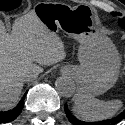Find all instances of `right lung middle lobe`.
Instances as JSON below:
<instances>
[{
  "mask_svg": "<svg viewBox=\"0 0 125 125\" xmlns=\"http://www.w3.org/2000/svg\"><path fill=\"white\" fill-rule=\"evenodd\" d=\"M21 3V0H0V9H4L6 11L12 10L18 7Z\"/></svg>",
  "mask_w": 125,
  "mask_h": 125,
  "instance_id": "right-lung-middle-lobe-1",
  "label": "right lung middle lobe"
}]
</instances>
